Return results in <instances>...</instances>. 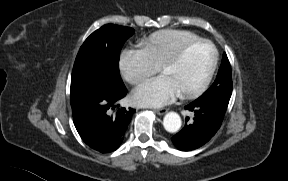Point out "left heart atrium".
Returning a JSON list of instances; mask_svg holds the SVG:
<instances>
[{"label":"left heart atrium","mask_w":288,"mask_h":181,"mask_svg":"<svg viewBox=\"0 0 288 181\" xmlns=\"http://www.w3.org/2000/svg\"><path fill=\"white\" fill-rule=\"evenodd\" d=\"M178 94L174 85L165 76L160 75L137 87L133 93V100L141 106L160 107L170 103Z\"/></svg>","instance_id":"39dd6f15"}]
</instances>
